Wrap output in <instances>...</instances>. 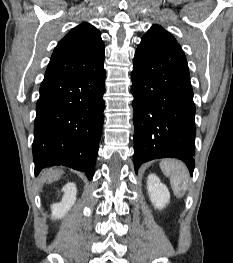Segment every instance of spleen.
I'll use <instances>...</instances> for the list:
<instances>
[{
	"mask_svg": "<svg viewBox=\"0 0 233 263\" xmlns=\"http://www.w3.org/2000/svg\"><path fill=\"white\" fill-rule=\"evenodd\" d=\"M160 168L165 176L170 178V184L176 197L181 198L188 187V170L178 160L166 159L160 162Z\"/></svg>",
	"mask_w": 233,
	"mask_h": 263,
	"instance_id": "3e777b00",
	"label": "spleen"
}]
</instances>
